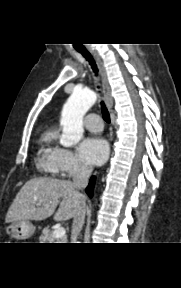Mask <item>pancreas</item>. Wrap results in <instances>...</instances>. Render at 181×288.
<instances>
[{"instance_id":"cf45deb5","label":"pancreas","mask_w":181,"mask_h":288,"mask_svg":"<svg viewBox=\"0 0 181 288\" xmlns=\"http://www.w3.org/2000/svg\"><path fill=\"white\" fill-rule=\"evenodd\" d=\"M41 243H64L66 238H56L48 227L43 229L41 236L39 237Z\"/></svg>"}]
</instances>
